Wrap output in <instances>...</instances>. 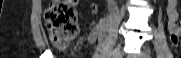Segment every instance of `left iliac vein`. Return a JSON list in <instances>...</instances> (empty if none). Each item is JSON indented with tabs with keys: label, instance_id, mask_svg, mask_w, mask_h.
Instances as JSON below:
<instances>
[{
	"label": "left iliac vein",
	"instance_id": "4c4485c4",
	"mask_svg": "<svg viewBox=\"0 0 181 58\" xmlns=\"http://www.w3.org/2000/svg\"><path fill=\"white\" fill-rule=\"evenodd\" d=\"M138 58H147L146 54H141Z\"/></svg>",
	"mask_w": 181,
	"mask_h": 58
}]
</instances>
